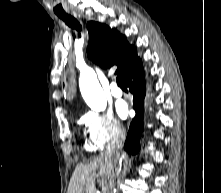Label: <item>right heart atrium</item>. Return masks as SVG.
I'll return each mask as SVG.
<instances>
[{"instance_id":"1","label":"right heart atrium","mask_w":221,"mask_h":193,"mask_svg":"<svg viewBox=\"0 0 221 193\" xmlns=\"http://www.w3.org/2000/svg\"><path fill=\"white\" fill-rule=\"evenodd\" d=\"M83 122L92 142L100 148L116 142L125 134L122 123L110 112H89Z\"/></svg>"}]
</instances>
